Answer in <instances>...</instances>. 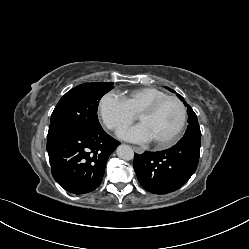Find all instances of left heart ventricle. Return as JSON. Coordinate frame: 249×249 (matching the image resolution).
<instances>
[{
    "instance_id": "1",
    "label": "left heart ventricle",
    "mask_w": 249,
    "mask_h": 249,
    "mask_svg": "<svg viewBox=\"0 0 249 249\" xmlns=\"http://www.w3.org/2000/svg\"><path fill=\"white\" fill-rule=\"evenodd\" d=\"M139 121L146 127L153 141L164 140L179 126L181 108L176 101L168 100L153 113L141 115Z\"/></svg>"
}]
</instances>
